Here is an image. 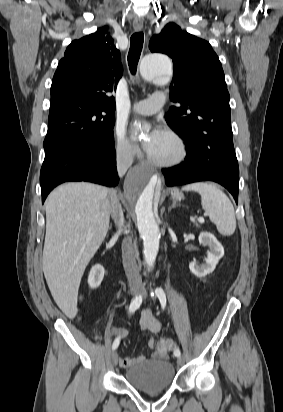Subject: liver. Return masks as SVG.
Listing matches in <instances>:
<instances>
[{
  "instance_id": "6515ba94",
  "label": "liver",
  "mask_w": 283,
  "mask_h": 412,
  "mask_svg": "<svg viewBox=\"0 0 283 412\" xmlns=\"http://www.w3.org/2000/svg\"><path fill=\"white\" fill-rule=\"evenodd\" d=\"M111 191L90 183H66L45 202L46 235L42 267L50 292L69 318L86 266L109 228Z\"/></svg>"
}]
</instances>
